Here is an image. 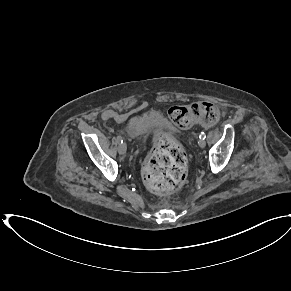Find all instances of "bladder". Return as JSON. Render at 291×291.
I'll return each instance as SVG.
<instances>
[{"instance_id": "31cf9c89", "label": "bladder", "mask_w": 291, "mask_h": 291, "mask_svg": "<svg viewBox=\"0 0 291 291\" xmlns=\"http://www.w3.org/2000/svg\"><path fill=\"white\" fill-rule=\"evenodd\" d=\"M152 125L149 124L148 118L144 116L130 118L126 122L125 132L127 135L143 137L150 133Z\"/></svg>"}]
</instances>
